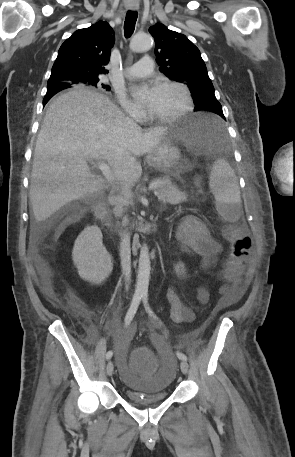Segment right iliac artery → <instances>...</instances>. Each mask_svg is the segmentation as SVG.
I'll return each mask as SVG.
<instances>
[{"label": "right iliac artery", "instance_id": "obj_1", "mask_svg": "<svg viewBox=\"0 0 295 457\" xmlns=\"http://www.w3.org/2000/svg\"><path fill=\"white\" fill-rule=\"evenodd\" d=\"M141 298H142L141 294H135L134 295L133 300L131 302V305L129 307V310H128V312L126 314V317H125V325L126 326H128L131 323V321H132V319H133V317H134V315H135V313H136V311L138 309V306L140 304ZM112 355H113V352L112 351H108L107 354H106V358L110 359L112 357Z\"/></svg>", "mask_w": 295, "mask_h": 457}]
</instances>
